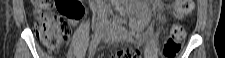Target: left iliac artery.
I'll list each match as a JSON object with an SVG mask.
<instances>
[{"label": "left iliac artery", "mask_w": 225, "mask_h": 58, "mask_svg": "<svg viewBox=\"0 0 225 58\" xmlns=\"http://www.w3.org/2000/svg\"><path fill=\"white\" fill-rule=\"evenodd\" d=\"M119 29L120 31L122 32V34L129 39V41H133V39L130 37V33L127 31V29L122 25V24H119Z\"/></svg>", "instance_id": "1"}]
</instances>
